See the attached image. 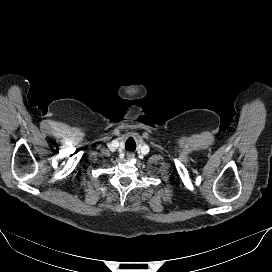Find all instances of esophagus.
Segmentation results:
<instances>
[{
    "label": "esophagus",
    "instance_id": "esophagus-1",
    "mask_svg": "<svg viewBox=\"0 0 272 272\" xmlns=\"http://www.w3.org/2000/svg\"><path fill=\"white\" fill-rule=\"evenodd\" d=\"M126 157H127V159H132V158L135 157V154H134L133 152H128V153L126 154Z\"/></svg>",
    "mask_w": 272,
    "mask_h": 272
}]
</instances>
